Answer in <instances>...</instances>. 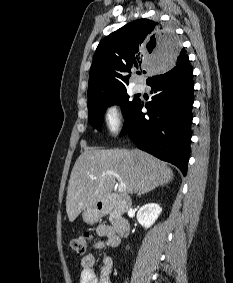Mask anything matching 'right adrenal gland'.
I'll list each match as a JSON object with an SVG mask.
<instances>
[{"label": "right adrenal gland", "mask_w": 233, "mask_h": 283, "mask_svg": "<svg viewBox=\"0 0 233 283\" xmlns=\"http://www.w3.org/2000/svg\"><path fill=\"white\" fill-rule=\"evenodd\" d=\"M147 192H149V190H147V191H142V192H139L137 196H138V197H140V196H141L142 194H145V193H147Z\"/></svg>", "instance_id": "2a0ac1e0"}]
</instances>
